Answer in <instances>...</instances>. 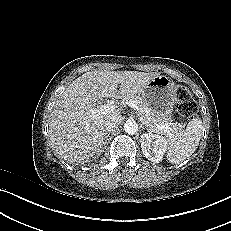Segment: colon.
<instances>
[{
	"label": "colon",
	"mask_w": 231,
	"mask_h": 231,
	"mask_svg": "<svg viewBox=\"0 0 231 231\" xmlns=\"http://www.w3.org/2000/svg\"><path fill=\"white\" fill-rule=\"evenodd\" d=\"M175 97L180 116L186 121L194 119L197 115L198 108L188 89L182 85L176 86Z\"/></svg>",
	"instance_id": "colon-1"
}]
</instances>
